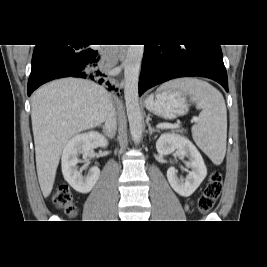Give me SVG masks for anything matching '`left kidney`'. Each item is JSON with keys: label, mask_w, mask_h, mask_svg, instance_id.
<instances>
[{"label": "left kidney", "mask_w": 267, "mask_h": 267, "mask_svg": "<svg viewBox=\"0 0 267 267\" xmlns=\"http://www.w3.org/2000/svg\"><path fill=\"white\" fill-rule=\"evenodd\" d=\"M156 149L160 154H170L177 150L181 157L189 159L185 165L191 168V171L186 179H180L174 167L167 170V179L179 195L183 197L192 195L207 175L204 160L198 149L189 139L172 133L162 134L156 142Z\"/></svg>", "instance_id": "left-kidney-1"}]
</instances>
